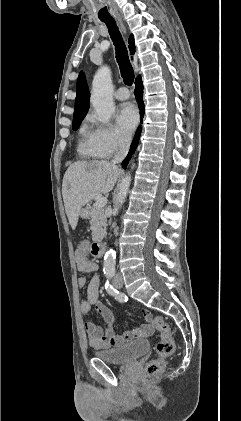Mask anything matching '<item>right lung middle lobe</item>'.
Masks as SVG:
<instances>
[{
  "label": "right lung middle lobe",
  "mask_w": 241,
  "mask_h": 421,
  "mask_svg": "<svg viewBox=\"0 0 241 421\" xmlns=\"http://www.w3.org/2000/svg\"><path fill=\"white\" fill-rule=\"evenodd\" d=\"M85 116L73 118V130H77Z\"/></svg>",
  "instance_id": "1"
}]
</instances>
